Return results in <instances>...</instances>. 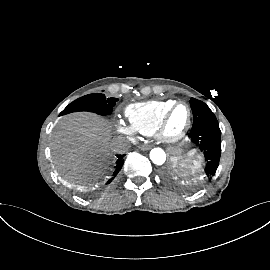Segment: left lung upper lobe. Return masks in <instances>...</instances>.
I'll return each mask as SVG.
<instances>
[{
    "mask_svg": "<svg viewBox=\"0 0 270 270\" xmlns=\"http://www.w3.org/2000/svg\"><path fill=\"white\" fill-rule=\"evenodd\" d=\"M190 104L194 117L191 130L197 129L206 124H218L214 113L204 102L191 98Z\"/></svg>",
    "mask_w": 270,
    "mask_h": 270,
    "instance_id": "left-lung-upper-lobe-1",
    "label": "left lung upper lobe"
}]
</instances>
